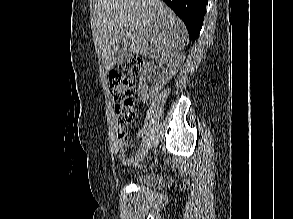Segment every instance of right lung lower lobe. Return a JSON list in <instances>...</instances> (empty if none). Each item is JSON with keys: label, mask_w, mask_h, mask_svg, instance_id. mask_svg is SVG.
Listing matches in <instances>:
<instances>
[{"label": "right lung lower lobe", "mask_w": 293, "mask_h": 219, "mask_svg": "<svg viewBox=\"0 0 293 219\" xmlns=\"http://www.w3.org/2000/svg\"><path fill=\"white\" fill-rule=\"evenodd\" d=\"M185 23L189 37L195 40L201 30L207 0H163Z\"/></svg>", "instance_id": "right-lung-lower-lobe-1"}]
</instances>
